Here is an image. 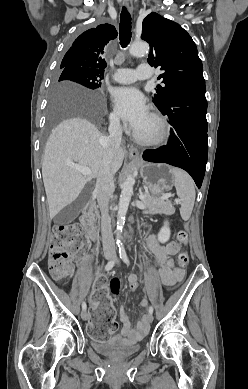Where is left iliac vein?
Instances as JSON below:
<instances>
[{"label": "left iliac vein", "instance_id": "left-iliac-vein-1", "mask_svg": "<svg viewBox=\"0 0 248 389\" xmlns=\"http://www.w3.org/2000/svg\"><path fill=\"white\" fill-rule=\"evenodd\" d=\"M147 321L149 322V323H152V321H153V315L152 314H148V316H147Z\"/></svg>", "mask_w": 248, "mask_h": 389}]
</instances>
